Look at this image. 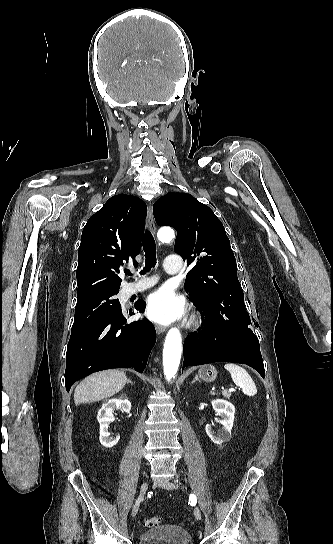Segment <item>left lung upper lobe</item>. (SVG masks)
Returning <instances> with one entry per match:
<instances>
[{
    "label": "left lung upper lobe",
    "mask_w": 333,
    "mask_h": 544,
    "mask_svg": "<svg viewBox=\"0 0 333 544\" xmlns=\"http://www.w3.org/2000/svg\"><path fill=\"white\" fill-rule=\"evenodd\" d=\"M158 225L176 229L174 251L193 268L185 290L204 314L247 327L250 316L237 278V266L225 228L214 212L186 193H168L153 207Z\"/></svg>",
    "instance_id": "5c2ea615"
}]
</instances>
